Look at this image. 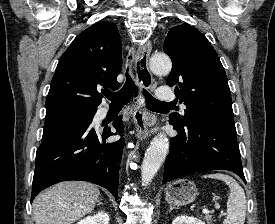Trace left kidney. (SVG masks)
<instances>
[{
    "instance_id": "5707ae66",
    "label": "left kidney",
    "mask_w": 275,
    "mask_h": 224,
    "mask_svg": "<svg viewBox=\"0 0 275 224\" xmlns=\"http://www.w3.org/2000/svg\"><path fill=\"white\" fill-rule=\"evenodd\" d=\"M172 224H205V223L195 217L178 216L173 220Z\"/></svg>"
}]
</instances>
